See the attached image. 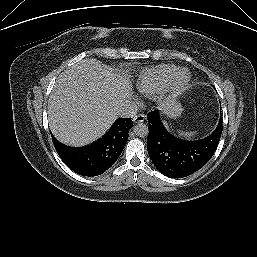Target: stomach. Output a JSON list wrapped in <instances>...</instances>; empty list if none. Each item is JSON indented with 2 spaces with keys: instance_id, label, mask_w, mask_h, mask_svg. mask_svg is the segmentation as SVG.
Listing matches in <instances>:
<instances>
[{
  "instance_id": "0dacf381",
  "label": "stomach",
  "mask_w": 257,
  "mask_h": 257,
  "mask_svg": "<svg viewBox=\"0 0 257 257\" xmlns=\"http://www.w3.org/2000/svg\"><path fill=\"white\" fill-rule=\"evenodd\" d=\"M160 110L169 118H177L181 115L183 109L176 99L170 97L161 105Z\"/></svg>"
}]
</instances>
